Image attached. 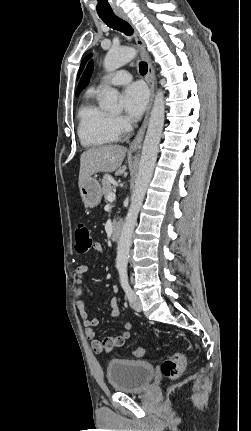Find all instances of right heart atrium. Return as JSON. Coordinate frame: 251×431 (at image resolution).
I'll use <instances>...</instances> for the list:
<instances>
[{
  "label": "right heart atrium",
  "mask_w": 251,
  "mask_h": 431,
  "mask_svg": "<svg viewBox=\"0 0 251 431\" xmlns=\"http://www.w3.org/2000/svg\"><path fill=\"white\" fill-rule=\"evenodd\" d=\"M112 125L119 136L128 132L131 126L130 122L122 116H113Z\"/></svg>",
  "instance_id": "d8ad5b80"
}]
</instances>
